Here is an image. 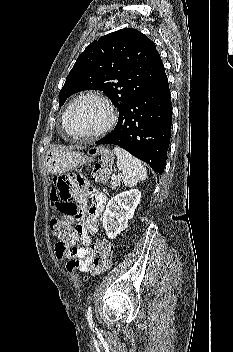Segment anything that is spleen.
<instances>
[{
    "label": "spleen",
    "mask_w": 233,
    "mask_h": 352,
    "mask_svg": "<svg viewBox=\"0 0 233 352\" xmlns=\"http://www.w3.org/2000/svg\"><path fill=\"white\" fill-rule=\"evenodd\" d=\"M114 153L117 156V167L123 173L122 179L126 186L133 187L138 181L147 178L146 168L139 159L118 146L114 147Z\"/></svg>",
    "instance_id": "1"
}]
</instances>
